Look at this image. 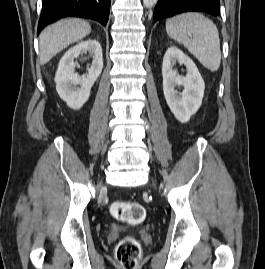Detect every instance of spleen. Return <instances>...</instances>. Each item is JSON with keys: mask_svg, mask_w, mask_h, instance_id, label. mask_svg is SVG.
I'll return each mask as SVG.
<instances>
[{"mask_svg": "<svg viewBox=\"0 0 265 269\" xmlns=\"http://www.w3.org/2000/svg\"><path fill=\"white\" fill-rule=\"evenodd\" d=\"M168 36L183 44L208 70L215 72L221 63L220 39L216 25L197 12H187L166 21ZM192 34V38H189Z\"/></svg>", "mask_w": 265, "mask_h": 269, "instance_id": "1", "label": "spleen"}]
</instances>
